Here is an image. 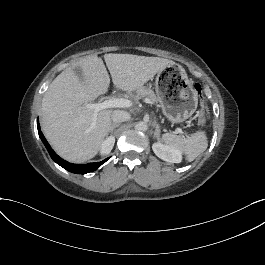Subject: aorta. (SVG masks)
<instances>
[{
	"label": "aorta",
	"instance_id": "1",
	"mask_svg": "<svg viewBox=\"0 0 265 265\" xmlns=\"http://www.w3.org/2000/svg\"><path fill=\"white\" fill-rule=\"evenodd\" d=\"M135 129L138 131H146L148 129V125L145 122L140 121L135 125Z\"/></svg>",
	"mask_w": 265,
	"mask_h": 265
}]
</instances>
